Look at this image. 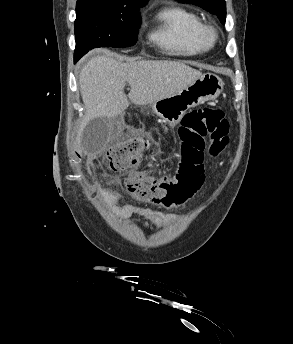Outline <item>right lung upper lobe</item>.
<instances>
[{
  "label": "right lung upper lobe",
  "instance_id": "right-lung-upper-lobe-1",
  "mask_svg": "<svg viewBox=\"0 0 293 344\" xmlns=\"http://www.w3.org/2000/svg\"><path fill=\"white\" fill-rule=\"evenodd\" d=\"M87 1V0H78L77 4ZM92 1H100L110 5H118V6H130V7H143L146 5L148 0H92Z\"/></svg>",
  "mask_w": 293,
  "mask_h": 344
}]
</instances>
